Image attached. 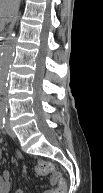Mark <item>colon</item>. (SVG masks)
<instances>
[{
	"label": "colon",
	"mask_w": 103,
	"mask_h": 193,
	"mask_svg": "<svg viewBox=\"0 0 103 193\" xmlns=\"http://www.w3.org/2000/svg\"><path fill=\"white\" fill-rule=\"evenodd\" d=\"M36 170H37L38 175L47 176L54 171V168H53V165L49 161L42 160V161L38 162ZM54 182L61 187V191H62V193H64L65 192V190H64V186H65L64 178L59 176V175H56L54 177Z\"/></svg>",
	"instance_id": "5ec220e1"
}]
</instances>
